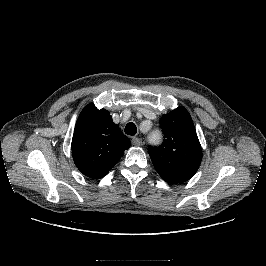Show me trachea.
Returning a JSON list of instances; mask_svg holds the SVG:
<instances>
[{
	"label": "trachea",
	"instance_id": "trachea-1",
	"mask_svg": "<svg viewBox=\"0 0 266 266\" xmlns=\"http://www.w3.org/2000/svg\"><path fill=\"white\" fill-rule=\"evenodd\" d=\"M125 133L128 135H135L137 133V127L133 122H130L125 127Z\"/></svg>",
	"mask_w": 266,
	"mask_h": 266
}]
</instances>
